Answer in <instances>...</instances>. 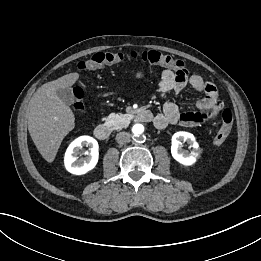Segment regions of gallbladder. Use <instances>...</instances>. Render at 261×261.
<instances>
[{
    "instance_id": "obj_1",
    "label": "gallbladder",
    "mask_w": 261,
    "mask_h": 261,
    "mask_svg": "<svg viewBox=\"0 0 261 261\" xmlns=\"http://www.w3.org/2000/svg\"><path fill=\"white\" fill-rule=\"evenodd\" d=\"M56 93L59 99L67 105H71L75 101V95L70 88L58 89Z\"/></svg>"
}]
</instances>
